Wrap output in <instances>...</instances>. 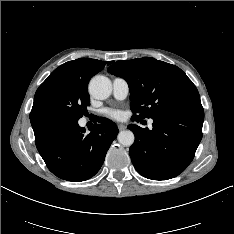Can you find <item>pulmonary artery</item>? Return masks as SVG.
Returning a JSON list of instances; mask_svg holds the SVG:
<instances>
[{
    "label": "pulmonary artery",
    "instance_id": "obj_1",
    "mask_svg": "<svg viewBox=\"0 0 234 234\" xmlns=\"http://www.w3.org/2000/svg\"><path fill=\"white\" fill-rule=\"evenodd\" d=\"M113 85V95L118 100L125 99L129 94V85L124 78L115 77L112 80ZM152 121L150 122V124Z\"/></svg>",
    "mask_w": 234,
    "mask_h": 234
}]
</instances>
